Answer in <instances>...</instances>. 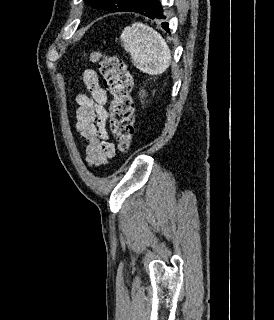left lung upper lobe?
<instances>
[{"mask_svg":"<svg viewBox=\"0 0 274 320\" xmlns=\"http://www.w3.org/2000/svg\"><path fill=\"white\" fill-rule=\"evenodd\" d=\"M88 5L97 9L121 12L135 2V0H84Z\"/></svg>","mask_w":274,"mask_h":320,"instance_id":"1","label":"left lung upper lobe"}]
</instances>
